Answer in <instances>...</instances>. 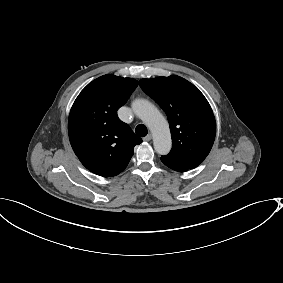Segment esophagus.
<instances>
[{"instance_id": "esophagus-1", "label": "esophagus", "mask_w": 283, "mask_h": 283, "mask_svg": "<svg viewBox=\"0 0 283 283\" xmlns=\"http://www.w3.org/2000/svg\"><path fill=\"white\" fill-rule=\"evenodd\" d=\"M152 139V134L149 133L148 135H146L144 138H143V141H150Z\"/></svg>"}]
</instances>
